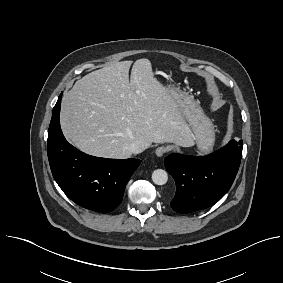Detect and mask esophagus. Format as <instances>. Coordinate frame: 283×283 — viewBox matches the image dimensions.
I'll return each instance as SVG.
<instances>
[{"label": "esophagus", "mask_w": 283, "mask_h": 283, "mask_svg": "<svg viewBox=\"0 0 283 283\" xmlns=\"http://www.w3.org/2000/svg\"><path fill=\"white\" fill-rule=\"evenodd\" d=\"M169 151V148L166 146H160L155 150V154L158 157H162L164 154H166Z\"/></svg>", "instance_id": "obj_1"}]
</instances>
